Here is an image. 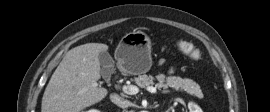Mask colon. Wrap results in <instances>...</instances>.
<instances>
[{"instance_id": "colon-1", "label": "colon", "mask_w": 270, "mask_h": 112, "mask_svg": "<svg viewBox=\"0 0 270 112\" xmlns=\"http://www.w3.org/2000/svg\"><path fill=\"white\" fill-rule=\"evenodd\" d=\"M180 49L183 50V51H189V47L187 44H184V43H181L179 45Z\"/></svg>"}]
</instances>
